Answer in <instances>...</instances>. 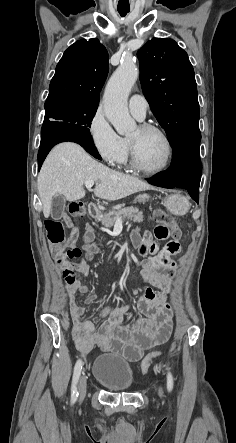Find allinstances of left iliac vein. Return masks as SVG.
Segmentation results:
<instances>
[{
	"instance_id": "obj_1",
	"label": "left iliac vein",
	"mask_w": 236,
	"mask_h": 443,
	"mask_svg": "<svg viewBox=\"0 0 236 443\" xmlns=\"http://www.w3.org/2000/svg\"><path fill=\"white\" fill-rule=\"evenodd\" d=\"M159 396L162 397L163 396V391L162 388L159 389Z\"/></svg>"
}]
</instances>
